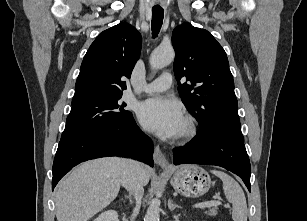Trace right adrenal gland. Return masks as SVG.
Masks as SVG:
<instances>
[{
    "label": "right adrenal gland",
    "instance_id": "1",
    "mask_svg": "<svg viewBox=\"0 0 307 221\" xmlns=\"http://www.w3.org/2000/svg\"><path fill=\"white\" fill-rule=\"evenodd\" d=\"M126 199L129 200L130 204L133 202V197H132V194L129 192L128 195H125Z\"/></svg>",
    "mask_w": 307,
    "mask_h": 221
}]
</instances>
